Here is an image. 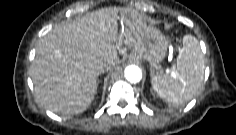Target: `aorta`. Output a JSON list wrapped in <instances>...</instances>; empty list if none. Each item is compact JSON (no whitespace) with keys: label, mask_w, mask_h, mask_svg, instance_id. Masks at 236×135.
Wrapping results in <instances>:
<instances>
[{"label":"aorta","mask_w":236,"mask_h":135,"mask_svg":"<svg viewBox=\"0 0 236 135\" xmlns=\"http://www.w3.org/2000/svg\"><path fill=\"white\" fill-rule=\"evenodd\" d=\"M125 78L131 83H138L142 79L141 69L136 65H129L124 70Z\"/></svg>","instance_id":"obj_1"}]
</instances>
